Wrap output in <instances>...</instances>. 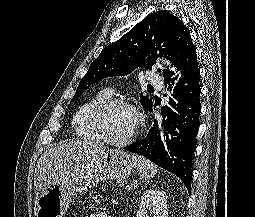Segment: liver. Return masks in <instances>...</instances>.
Returning <instances> with one entry per match:
<instances>
[{
  "instance_id": "liver-1",
  "label": "liver",
  "mask_w": 255,
  "mask_h": 217,
  "mask_svg": "<svg viewBox=\"0 0 255 217\" xmlns=\"http://www.w3.org/2000/svg\"><path fill=\"white\" fill-rule=\"evenodd\" d=\"M103 144L91 141H73L49 147L39 158L34 175L36 190H44L69 174L79 171L87 162L105 153Z\"/></svg>"
}]
</instances>
